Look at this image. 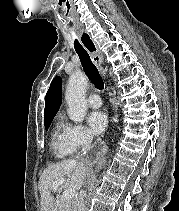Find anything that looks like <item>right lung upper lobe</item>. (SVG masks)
<instances>
[{
  "mask_svg": "<svg viewBox=\"0 0 179 211\" xmlns=\"http://www.w3.org/2000/svg\"><path fill=\"white\" fill-rule=\"evenodd\" d=\"M62 102V79L56 77L50 84V88L45 97V120L54 117Z\"/></svg>",
  "mask_w": 179,
  "mask_h": 211,
  "instance_id": "cb5924a9",
  "label": "right lung upper lobe"
}]
</instances>
